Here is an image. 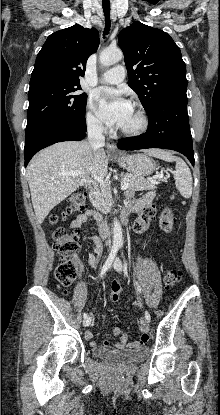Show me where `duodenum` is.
<instances>
[{"label": "duodenum", "mask_w": 220, "mask_h": 415, "mask_svg": "<svg viewBox=\"0 0 220 415\" xmlns=\"http://www.w3.org/2000/svg\"><path fill=\"white\" fill-rule=\"evenodd\" d=\"M86 190L88 191V193L90 195H93L96 192V185L95 184H90L86 187ZM128 214H129V212H125L122 216V222L124 224L127 223ZM98 225H99L100 237L102 239H107L112 235V230H111L110 226L102 218L98 222Z\"/></svg>", "instance_id": "410a0bca"}]
</instances>
